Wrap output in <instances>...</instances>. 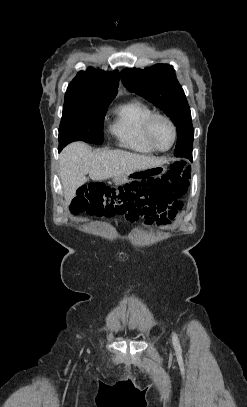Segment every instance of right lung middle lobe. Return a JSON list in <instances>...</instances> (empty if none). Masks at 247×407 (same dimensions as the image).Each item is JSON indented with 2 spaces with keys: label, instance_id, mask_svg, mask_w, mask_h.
Segmentation results:
<instances>
[{
  "label": "right lung middle lobe",
  "instance_id": "1",
  "mask_svg": "<svg viewBox=\"0 0 247 407\" xmlns=\"http://www.w3.org/2000/svg\"><path fill=\"white\" fill-rule=\"evenodd\" d=\"M111 101L64 103L59 126V151L73 141L103 143L105 112Z\"/></svg>",
  "mask_w": 247,
  "mask_h": 407
}]
</instances>
